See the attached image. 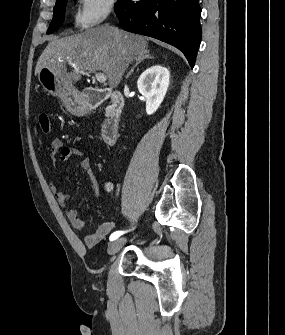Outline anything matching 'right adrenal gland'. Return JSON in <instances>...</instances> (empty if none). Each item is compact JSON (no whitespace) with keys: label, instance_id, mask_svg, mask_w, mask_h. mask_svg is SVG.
<instances>
[{"label":"right adrenal gland","instance_id":"right-adrenal-gland-1","mask_svg":"<svg viewBox=\"0 0 285 335\" xmlns=\"http://www.w3.org/2000/svg\"><path fill=\"white\" fill-rule=\"evenodd\" d=\"M153 56H150V54H146V56H143V54H139L138 60H135L136 64H134L133 68H131L130 72L126 74L125 78H129L131 76L132 72H134L135 68L141 64V62H144V60H152Z\"/></svg>","mask_w":285,"mask_h":335}]
</instances>
